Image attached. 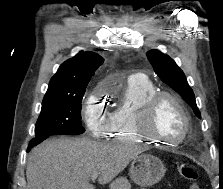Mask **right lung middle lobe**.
Instances as JSON below:
<instances>
[{
	"instance_id": "dd1d6c3e",
	"label": "right lung middle lobe",
	"mask_w": 223,
	"mask_h": 189,
	"mask_svg": "<svg viewBox=\"0 0 223 189\" xmlns=\"http://www.w3.org/2000/svg\"><path fill=\"white\" fill-rule=\"evenodd\" d=\"M85 89L72 94H45L35 126V138L51 135L84 133L81 124V102Z\"/></svg>"
}]
</instances>
